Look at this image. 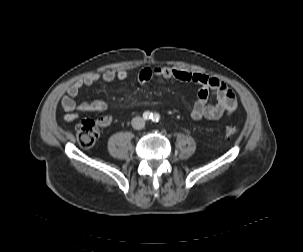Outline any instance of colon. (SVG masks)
<instances>
[{"label": "colon", "instance_id": "5ec220e1", "mask_svg": "<svg viewBox=\"0 0 303 252\" xmlns=\"http://www.w3.org/2000/svg\"><path fill=\"white\" fill-rule=\"evenodd\" d=\"M77 138L79 143L85 147H92L98 140L99 129L95 122L91 119L83 120L77 126ZM238 133V128L235 126H226L223 129V136L231 138Z\"/></svg>", "mask_w": 303, "mask_h": 252}]
</instances>
